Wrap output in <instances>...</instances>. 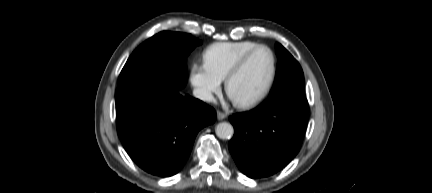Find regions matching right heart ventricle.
<instances>
[{
    "mask_svg": "<svg viewBox=\"0 0 432 193\" xmlns=\"http://www.w3.org/2000/svg\"><path fill=\"white\" fill-rule=\"evenodd\" d=\"M257 45L259 43L251 40L212 44L204 52V63L213 75L223 81L232 66Z\"/></svg>",
    "mask_w": 432,
    "mask_h": 193,
    "instance_id": "e07e8e85",
    "label": "right heart ventricle"
}]
</instances>
